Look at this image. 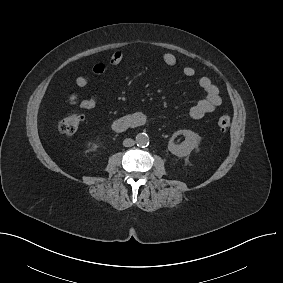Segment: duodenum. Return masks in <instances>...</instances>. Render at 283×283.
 <instances>
[{
  "instance_id": "410a0bca",
  "label": "duodenum",
  "mask_w": 283,
  "mask_h": 283,
  "mask_svg": "<svg viewBox=\"0 0 283 283\" xmlns=\"http://www.w3.org/2000/svg\"><path fill=\"white\" fill-rule=\"evenodd\" d=\"M145 124V119L137 115H127L116 119L112 123V128L116 132H123L130 128L139 127Z\"/></svg>"
}]
</instances>
